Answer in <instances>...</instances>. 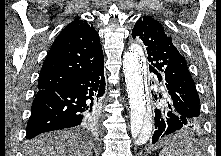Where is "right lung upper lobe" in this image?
I'll list each match as a JSON object with an SVG mask.
<instances>
[{"instance_id": "right-lung-upper-lobe-1", "label": "right lung upper lobe", "mask_w": 221, "mask_h": 156, "mask_svg": "<svg viewBox=\"0 0 221 156\" xmlns=\"http://www.w3.org/2000/svg\"><path fill=\"white\" fill-rule=\"evenodd\" d=\"M99 35L87 21L76 19L57 36L43 63L38 90L59 87L104 63Z\"/></svg>"}]
</instances>
